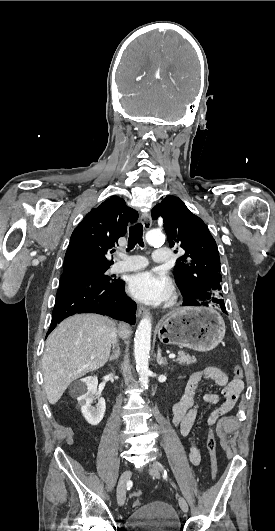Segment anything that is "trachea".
Listing matches in <instances>:
<instances>
[{"mask_svg": "<svg viewBox=\"0 0 275 531\" xmlns=\"http://www.w3.org/2000/svg\"><path fill=\"white\" fill-rule=\"evenodd\" d=\"M136 244L144 247L142 224H135L134 226L130 227L127 252L133 249Z\"/></svg>", "mask_w": 275, "mask_h": 531, "instance_id": "trachea-1", "label": "trachea"}]
</instances>
